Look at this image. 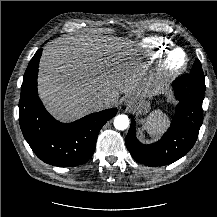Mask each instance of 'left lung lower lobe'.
Here are the masks:
<instances>
[{"mask_svg":"<svg viewBox=\"0 0 217 217\" xmlns=\"http://www.w3.org/2000/svg\"><path fill=\"white\" fill-rule=\"evenodd\" d=\"M172 86L179 103L169 130L159 141L149 145L140 143L135 136L134 117H131V126L125 139L126 147L141 164H171L186 155L197 140L203 121L205 85L186 74L177 78Z\"/></svg>","mask_w":217,"mask_h":217,"instance_id":"0a47b994","label":"left lung lower lobe"}]
</instances>
